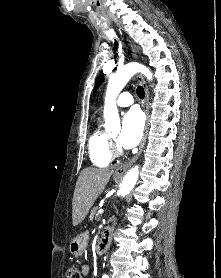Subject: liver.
I'll return each instance as SVG.
<instances>
[{
  "instance_id": "liver-1",
  "label": "liver",
  "mask_w": 221,
  "mask_h": 278,
  "mask_svg": "<svg viewBox=\"0 0 221 278\" xmlns=\"http://www.w3.org/2000/svg\"><path fill=\"white\" fill-rule=\"evenodd\" d=\"M112 173V170L99 168H85L81 171L72 200L73 226L85 219L95 200L104 191Z\"/></svg>"
}]
</instances>
